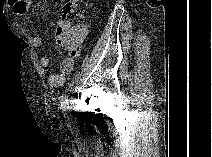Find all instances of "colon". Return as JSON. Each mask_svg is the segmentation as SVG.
<instances>
[{"instance_id": "1", "label": "colon", "mask_w": 212, "mask_h": 157, "mask_svg": "<svg viewBox=\"0 0 212 157\" xmlns=\"http://www.w3.org/2000/svg\"><path fill=\"white\" fill-rule=\"evenodd\" d=\"M84 12L85 3L77 0L66 2L63 8V20L67 25V30L62 32L56 41L65 47L71 56H77L79 53L77 44L81 38Z\"/></svg>"}]
</instances>
